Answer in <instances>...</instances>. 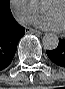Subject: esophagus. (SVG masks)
Wrapping results in <instances>:
<instances>
[{
	"instance_id": "obj_1",
	"label": "esophagus",
	"mask_w": 65,
	"mask_h": 89,
	"mask_svg": "<svg viewBox=\"0 0 65 89\" xmlns=\"http://www.w3.org/2000/svg\"><path fill=\"white\" fill-rule=\"evenodd\" d=\"M28 32H31V33H34V34H37V35H42V32L35 30V29H31V28L28 29Z\"/></svg>"
}]
</instances>
